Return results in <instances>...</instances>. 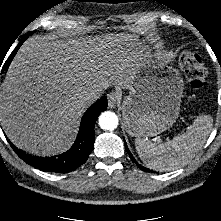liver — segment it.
<instances>
[{"instance_id": "liver-1", "label": "liver", "mask_w": 221, "mask_h": 221, "mask_svg": "<svg viewBox=\"0 0 221 221\" xmlns=\"http://www.w3.org/2000/svg\"><path fill=\"white\" fill-rule=\"evenodd\" d=\"M106 38L107 45L118 48L127 40ZM92 53L95 48L86 44L50 43L47 37L24 43L0 87V122L15 144L34 153L64 148L85 107L78 99L81 92L99 94L111 84L123 87L132 81L131 71L103 69Z\"/></svg>"}]
</instances>
